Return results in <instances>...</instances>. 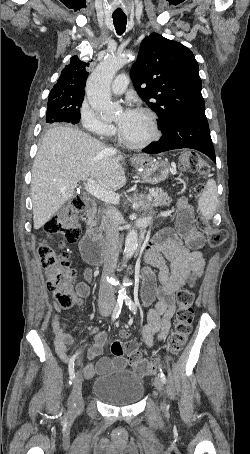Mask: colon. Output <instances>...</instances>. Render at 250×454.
<instances>
[{
    "label": "colon",
    "mask_w": 250,
    "mask_h": 454,
    "mask_svg": "<svg viewBox=\"0 0 250 454\" xmlns=\"http://www.w3.org/2000/svg\"><path fill=\"white\" fill-rule=\"evenodd\" d=\"M181 168L192 173H199L207 176L210 171L209 165L195 152H184L180 157ZM203 186H196L194 193L199 196ZM85 207V201L79 196H74L69 205L62 209L56 216L46 224V231L49 235H60L61 245L75 242L80 235L78 213ZM199 226L206 232L207 241L211 248H217L226 239V232L223 229L211 227L206 220L199 217ZM38 255L46 274V287L53 294L54 301L64 309L71 308L76 303V296L73 291V281L76 278V271L71 268V256L66 251L58 252L46 240H41L38 246ZM196 276L193 274L191 280ZM193 293L187 289H180L176 293L177 310L173 332L170 336V351L172 354L180 352L192 331L194 319ZM111 352L114 356H127L129 365L140 376L151 375L156 371L155 364L143 357L136 350L134 343H123L115 340L111 343Z\"/></svg>",
    "instance_id": "1"
}]
</instances>
